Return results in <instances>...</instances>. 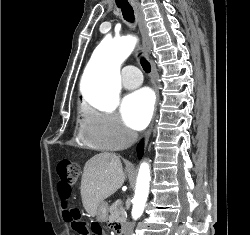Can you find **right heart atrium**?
I'll list each match as a JSON object with an SVG mask.
<instances>
[{
	"label": "right heart atrium",
	"instance_id": "right-heart-atrium-1",
	"mask_svg": "<svg viewBox=\"0 0 250 235\" xmlns=\"http://www.w3.org/2000/svg\"><path fill=\"white\" fill-rule=\"evenodd\" d=\"M79 133L85 143L101 150H121L135 140L115 112L90 107L84 109Z\"/></svg>",
	"mask_w": 250,
	"mask_h": 235
}]
</instances>
